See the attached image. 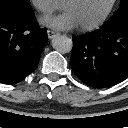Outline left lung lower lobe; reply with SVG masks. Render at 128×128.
<instances>
[{"mask_svg":"<svg viewBox=\"0 0 128 128\" xmlns=\"http://www.w3.org/2000/svg\"><path fill=\"white\" fill-rule=\"evenodd\" d=\"M71 68L85 84L104 88L128 77V16L75 36Z\"/></svg>","mask_w":128,"mask_h":128,"instance_id":"left-lung-lower-lobe-1","label":"left lung lower lobe"}]
</instances>
